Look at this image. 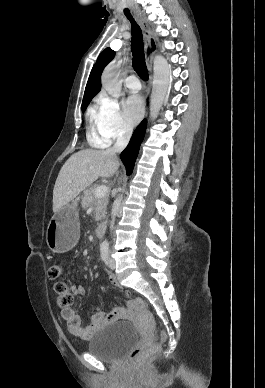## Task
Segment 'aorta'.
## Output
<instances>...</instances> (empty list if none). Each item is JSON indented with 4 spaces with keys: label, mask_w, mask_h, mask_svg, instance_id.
<instances>
[{
    "label": "aorta",
    "mask_w": 265,
    "mask_h": 388,
    "mask_svg": "<svg viewBox=\"0 0 265 388\" xmlns=\"http://www.w3.org/2000/svg\"><path fill=\"white\" fill-rule=\"evenodd\" d=\"M153 64L154 74L150 101L151 119H155L157 117L165 99L170 81V67L167 60L162 56H155ZM119 68L120 64L111 63L105 68L102 74V86L113 97H118L121 91ZM122 200V195L115 199L111 211L113 217L118 214ZM103 243L108 244L107 241H104Z\"/></svg>",
    "instance_id": "1"
}]
</instances>
